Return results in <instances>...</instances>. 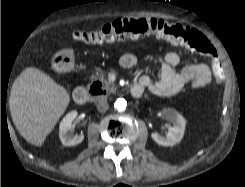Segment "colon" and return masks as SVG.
Instances as JSON below:
<instances>
[{
    "mask_svg": "<svg viewBox=\"0 0 245 187\" xmlns=\"http://www.w3.org/2000/svg\"><path fill=\"white\" fill-rule=\"evenodd\" d=\"M144 35H153L199 52L210 60L216 75L221 78V66L215 47L204 34L181 23L159 19L121 18L106 23L96 30L72 32L69 40L90 45H104L137 39Z\"/></svg>",
    "mask_w": 245,
    "mask_h": 187,
    "instance_id": "1",
    "label": "colon"
}]
</instances>
